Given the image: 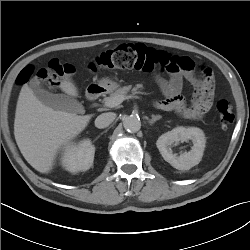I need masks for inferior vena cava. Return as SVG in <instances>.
<instances>
[{
  "label": "inferior vena cava",
  "instance_id": "602c4592",
  "mask_svg": "<svg viewBox=\"0 0 250 250\" xmlns=\"http://www.w3.org/2000/svg\"><path fill=\"white\" fill-rule=\"evenodd\" d=\"M116 118V114L113 112L102 113L95 120V126L97 128H106L108 127Z\"/></svg>",
  "mask_w": 250,
  "mask_h": 250
}]
</instances>
